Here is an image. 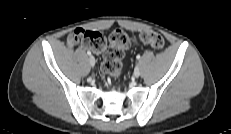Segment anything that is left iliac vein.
Here are the masks:
<instances>
[{"mask_svg":"<svg viewBox=\"0 0 231 134\" xmlns=\"http://www.w3.org/2000/svg\"><path fill=\"white\" fill-rule=\"evenodd\" d=\"M140 76V69L139 67H136L134 70V77L138 78Z\"/></svg>","mask_w":231,"mask_h":134,"instance_id":"1","label":"left iliac vein"}]
</instances>
